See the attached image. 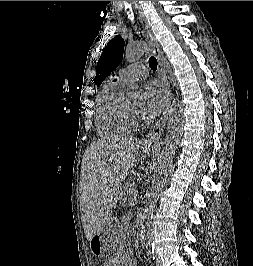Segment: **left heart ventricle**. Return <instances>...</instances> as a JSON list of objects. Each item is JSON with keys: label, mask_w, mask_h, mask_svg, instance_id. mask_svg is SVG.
<instances>
[{"label": "left heart ventricle", "mask_w": 253, "mask_h": 266, "mask_svg": "<svg viewBox=\"0 0 253 266\" xmlns=\"http://www.w3.org/2000/svg\"><path fill=\"white\" fill-rule=\"evenodd\" d=\"M127 103L132 112L139 114L140 99L138 95H130L127 98Z\"/></svg>", "instance_id": "b2bd125f"}]
</instances>
